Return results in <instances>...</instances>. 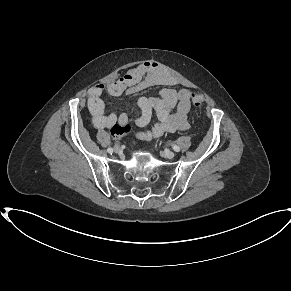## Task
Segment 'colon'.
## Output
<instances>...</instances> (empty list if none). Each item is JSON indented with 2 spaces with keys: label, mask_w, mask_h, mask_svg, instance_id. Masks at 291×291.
<instances>
[{
  "label": "colon",
  "mask_w": 291,
  "mask_h": 291,
  "mask_svg": "<svg viewBox=\"0 0 291 291\" xmlns=\"http://www.w3.org/2000/svg\"><path fill=\"white\" fill-rule=\"evenodd\" d=\"M192 104L200 108L204 105V97L199 93H192L191 95ZM131 131V127L128 124H114L111 128V133L114 137H120Z\"/></svg>",
  "instance_id": "1"
}]
</instances>
